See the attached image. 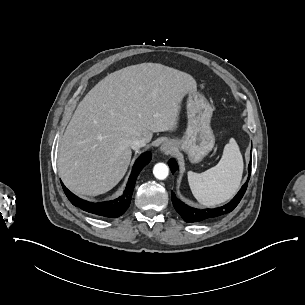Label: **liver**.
I'll return each mask as SVG.
<instances>
[{
  "instance_id": "liver-1",
  "label": "liver",
  "mask_w": 305,
  "mask_h": 305,
  "mask_svg": "<svg viewBox=\"0 0 305 305\" xmlns=\"http://www.w3.org/2000/svg\"><path fill=\"white\" fill-rule=\"evenodd\" d=\"M188 94H196L192 77L158 64L108 75L77 106L59 141L58 170L65 185L86 195L112 189L130 164V141L176 132Z\"/></svg>"
}]
</instances>
